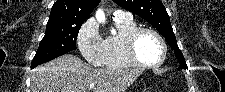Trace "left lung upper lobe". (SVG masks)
<instances>
[{
    "mask_svg": "<svg viewBox=\"0 0 225 92\" xmlns=\"http://www.w3.org/2000/svg\"><path fill=\"white\" fill-rule=\"evenodd\" d=\"M119 6L139 15L155 27L165 37L168 45L174 50L179 60V68L187 69L182 52L180 51L175 34L170 23L169 15L160 0H113Z\"/></svg>",
    "mask_w": 225,
    "mask_h": 92,
    "instance_id": "5c2ea615",
    "label": "left lung upper lobe"
}]
</instances>
